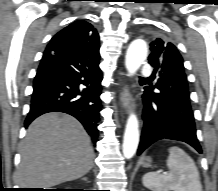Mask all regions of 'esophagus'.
Here are the masks:
<instances>
[{
	"label": "esophagus",
	"instance_id": "1",
	"mask_svg": "<svg viewBox=\"0 0 218 191\" xmlns=\"http://www.w3.org/2000/svg\"><path fill=\"white\" fill-rule=\"evenodd\" d=\"M121 107L125 112H128L129 110V104H130V95L129 90L127 86H124L120 92L119 96Z\"/></svg>",
	"mask_w": 218,
	"mask_h": 191
}]
</instances>
